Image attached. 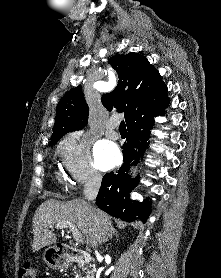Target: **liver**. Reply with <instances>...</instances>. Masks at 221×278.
<instances>
[{"label":"liver","mask_w":221,"mask_h":278,"mask_svg":"<svg viewBox=\"0 0 221 278\" xmlns=\"http://www.w3.org/2000/svg\"><path fill=\"white\" fill-rule=\"evenodd\" d=\"M65 221L78 227L86 244L93 247L101 244L115 230L109 215L84 200L64 202L48 199L38 207L33 217V252L56 243L57 235L50 226Z\"/></svg>","instance_id":"1"}]
</instances>
